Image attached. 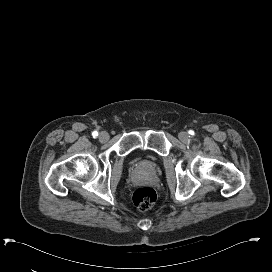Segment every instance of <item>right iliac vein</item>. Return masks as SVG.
<instances>
[{
    "label": "right iliac vein",
    "instance_id": "63e3f726",
    "mask_svg": "<svg viewBox=\"0 0 272 272\" xmlns=\"http://www.w3.org/2000/svg\"><path fill=\"white\" fill-rule=\"evenodd\" d=\"M108 139H109V135H108L107 132L102 131V132L99 134V140H100L101 142H106Z\"/></svg>",
    "mask_w": 272,
    "mask_h": 272
}]
</instances>
